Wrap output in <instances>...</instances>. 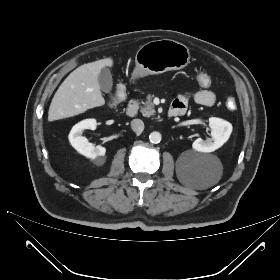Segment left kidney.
I'll use <instances>...</instances> for the list:
<instances>
[{"label": "left kidney", "mask_w": 280, "mask_h": 280, "mask_svg": "<svg viewBox=\"0 0 280 280\" xmlns=\"http://www.w3.org/2000/svg\"><path fill=\"white\" fill-rule=\"evenodd\" d=\"M209 126L212 128L211 138L203 140L196 139L192 147L198 152L209 153L220 148L229 139L232 133V124L217 117L209 118Z\"/></svg>", "instance_id": "1"}]
</instances>
